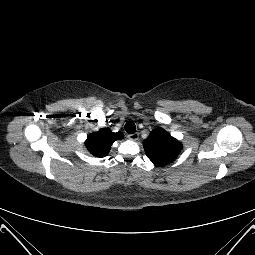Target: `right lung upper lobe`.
Returning <instances> with one entry per match:
<instances>
[{
    "instance_id": "right-lung-upper-lobe-1",
    "label": "right lung upper lobe",
    "mask_w": 255,
    "mask_h": 255,
    "mask_svg": "<svg viewBox=\"0 0 255 255\" xmlns=\"http://www.w3.org/2000/svg\"><path fill=\"white\" fill-rule=\"evenodd\" d=\"M123 138L121 132L113 133L109 128L100 129L91 133L85 141L88 151L96 157H104L108 154L114 141Z\"/></svg>"
}]
</instances>
